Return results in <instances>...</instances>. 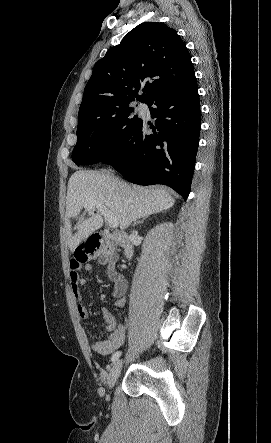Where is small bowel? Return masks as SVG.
I'll return each instance as SVG.
<instances>
[{
  "instance_id": "c3829d8e",
  "label": "small bowel",
  "mask_w": 271,
  "mask_h": 443,
  "mask_svg": "<svg viewBox=\"0 0 271 443\" xmlns=\"http://www.w3.org/2000/svg\"><path fill=\"white\" fill-rule=\"evenodd\" d=\"M81 268L86 272L92 271V265L89 263H78L74 259L70 261V283L76 300L77 312L82 320H86L89 314L83 303L82 296L87 292V282L78 274ZM107 276L114 284L113 296L115 298V306L121 307L126 300L127 281L114 269L111 262L108 263ZM103 318L108 336L100 340L92 339L90 347L98 354L108 355L125 343L126 327L122 323H117L115 315L108 309H104Z\"/></svg>"
}]
</instances>
